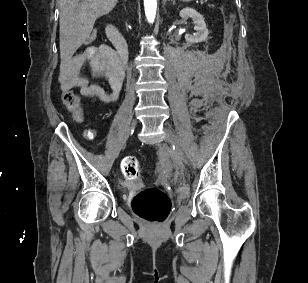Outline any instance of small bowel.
I'll use <instances>...</instances> for the list:
<instances>
[{"mask_svg":"<svg viewBox=\"0 0 308 283\" xmlns=\"http://www.w3.org/2000/svg\"><path fill=\"white\" fill-rule=\"evenodd\" d=\"M89 63L92 75L104 76L109 84L110 91L106 92L100 85L90 83L80 75L82 66ZM63 72L70 80L71 85L79 88L81 94L104 103L115 102L122 89L124 69L118 56L108 45L87 47L63 66Z\"/></svg>","mask_w":308,"mask_h":283,"instance_id":"obj_1","label":"small bowel"}]
</instances>
